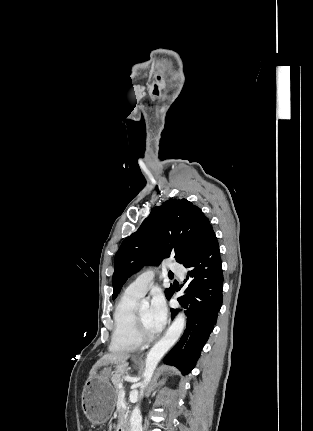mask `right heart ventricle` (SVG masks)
I'll return each instance as SVG.
<instances>
[{
	"mask_svg": "<svg viewBox=\"0 0 313 431\" xmlns=\"http://www.w3.org/2000/svg\"><path fill=\"white\" fill-rule=\"evenodd\" d=\"M139 297L124 294L117 301L114 309V326L110 348L113 351L129 352L139 347L134 336V312Z\"/></svg>",
	"mask_w": 313,
	"mask_h": 431,
	"instance_id": "1",
	"label": "right heart ventricle"
}]
</instances>
